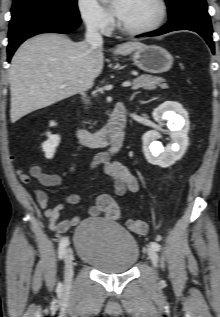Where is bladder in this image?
I'll list each match as a JSON object with an SVG mask.
<instances>
[{
  "mask_svg": "<svg viewBox=\"0 0 220 317\" xmlns=\"http://www.w3.org/2000/svg\"><path fill=\"white\" fill-rule=\"evenodd\" d=\"M73 240L78 259L100 272L125 273L139 260L137 240L110 219L92 217L82 221L74 232Z\"/></svg>",
  "mask_w": 220,
  "mask_h": 317,
  "instance_id": "1",
  "label": "bladder"
}]
</instances>
